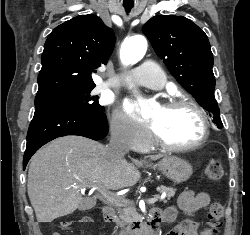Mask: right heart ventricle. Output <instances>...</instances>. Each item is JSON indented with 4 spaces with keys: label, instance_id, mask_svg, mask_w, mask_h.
Returning a JSON list of instances; mask_svg holds the SVG:
<instances>
[{
    "label": "right heart ventricle",
    "instance_id": "right-heart-ventricle-1",
    "mask_svg": "<svg viewBox=\"0 0 250 235\" xmlns=\"http://www.w3.org/2000/svg\"><path fill=\"white\" fill-rule=\"evenodd\" d=\"M151 146V144L149 143L145 148H149Z\"/></svg>",
    "mask_w": 250,
    "mask_h": 235
}]
</instances>
